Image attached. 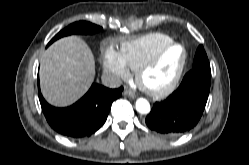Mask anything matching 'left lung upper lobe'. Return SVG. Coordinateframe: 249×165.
Here are the masks:
<instances>
[{
	"label": "left lung upper lobe",
	"instance_id": "1",
	"mask_svg": "<svg viewBox=\"0 0 249 165\" xmlns=\"http://www.w3.org/2000/svg\"><path fill=\"white\" fill-rule=\"evenodd\" d=\"M192 69H204L210 71V64L202 45H200L196 51Z\"/></svg>",
	"mask_w": 249,
	"mask_h": 165
}]
</instances>
